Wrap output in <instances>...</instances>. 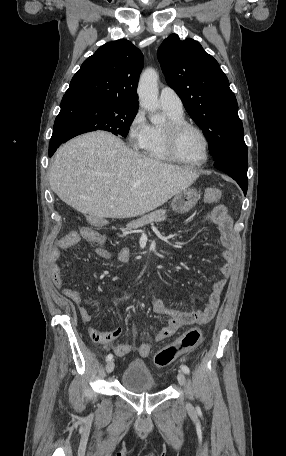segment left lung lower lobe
<instances>
[{
  "label": "left lung lower lobe",
  "instance_id": "1",
  "mask_svg": "<svg viewBox=\"0 0 286 456\" xmlns=\"http://www.w3.org/2000/svg\"><path fill=\"white\" fill-rule=\"evenodd\" d=\"M247 163L248 156H228L215 161L214 166L232 177L246 195L248 187Z\"/></svg>",
  "mask_w": 286,
  "mask_h": 456
}]
</instances>
